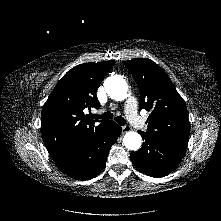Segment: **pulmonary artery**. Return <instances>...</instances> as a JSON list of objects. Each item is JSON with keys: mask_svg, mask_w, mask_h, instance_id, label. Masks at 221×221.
<instances>
[{"mask_svg": "<svg viewBox=\"0 0 221 221\" xmlns=\"http://www.w3.org/2000/svg\"><path fill=\"white\" fill-rule=\"evenodd\" d=\"M125 113L134 127L139 129L143 127V122L137 114V101L133 96L128 97L125 102Z\"/></svg>", "mask_w": 221, "mask_h": 221, "instance_id": "e3ab8cb5", "label": "pulmonary artery"}]
</instances>
